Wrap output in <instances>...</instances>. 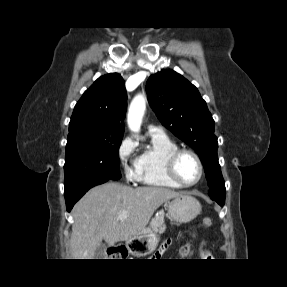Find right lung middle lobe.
I'll return each instance as SVG.
<instances>
[{
	"label": "right lung middle lobe",
	"mask_w": 287,
	"mask_h": 287,
	"mask_svg": "<svg viewBox=\"0 0 287 287\" xmlns=\"http://www.w3.org/2000/svg\"><path fill=\"white\" fill-rule=\"evenodd\" d=\"M122 137L98 136L87 128L70 131L64 165L65 190L86 180L120 179L118 150Z\"/></svg>",
	"instance_id": "1"
}]
</instances>
